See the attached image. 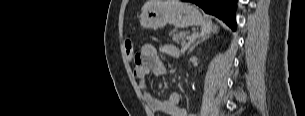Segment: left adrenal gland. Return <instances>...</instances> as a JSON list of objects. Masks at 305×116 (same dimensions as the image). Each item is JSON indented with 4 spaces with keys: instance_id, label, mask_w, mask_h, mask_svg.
<instances>
[{
    "instance_id": "1",
    "label": "left adrenal gland",
    "mask_w": 305,
    "mask_h": 116,
    "mask_svg": "<svg viewBox=\"0 0 305 116\" xmlns=\"http://www.w3.org/2000/svg\"><path fill=\"white\" fill-rule=\"evenodd\" d=\"M210 36H209V33H208V31H202L200 34H199V36H198V40L189 48V51H188V53H191L193 50H194V48L199 44V43H201L202 41H205L206 39H208ZM191 44V41L188 43V47H189V45Z\"/></svg>"
}]
</instances>
